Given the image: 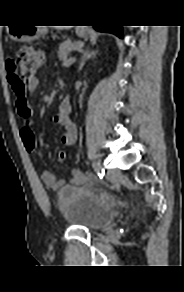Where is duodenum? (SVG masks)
Here are the masks:
<instances>
[{"mask_svg": "<svg viewBox=\"0 0 184 292\" xmlns=\"http://www.w3.org/2000/svg\"><path fill=\"white\" fill-rule=\"evenodd\" d=\"M71 108V100L70 98H64L59 106H58V111L60 114H66Z\"/></svg>", "mask_w": 184, "mask_h": 292, "instance_id": "obj_1", "label": "duodenum"}]
</instances>
